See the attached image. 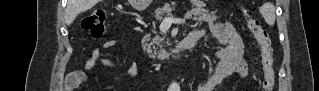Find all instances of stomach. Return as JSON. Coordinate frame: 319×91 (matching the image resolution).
Masks as SVG:
<instances>
[{
    "instance_id": "obj_1",
    "label": "stomach",
    "mask_w": 319,
    "mask_h": 91,
    "mask_svg": "<svg viewBox=\"0 0 319 91\" xmlns=\"http://www.w3.org/2000/svg\"><path fill=\"white\" fill-rule=\"evenodd\" d=\"M135 2H138L137 0H135ZM149 3V0H142L143 5H147ZM139 3H136V5H138Z\"/></svg>"
}]
</instances>
